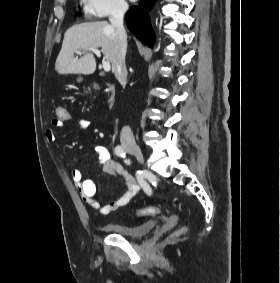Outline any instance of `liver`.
<instances>
[{"mask_svg":"<svg viewBox=\"0 0 280 283\" xmlns=\"http://www.w3.org/2000/svg\"><path fill=\"white\" fill-rule=\"evenodd\" d=\"M89 47L101 48L106 61L115 72L119 52V40L116 29L107 21L86 22L69 28L64 34L62 48L55 62L59 74H92L96 69L94 55ZM84 50L77 58L74 53Z\"/></svg>","mask_w":280,"mask_h":283,"instance_id":"1","label":"liver"}]
</instances>
